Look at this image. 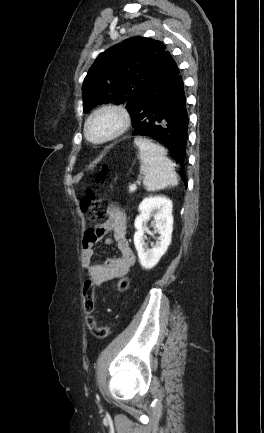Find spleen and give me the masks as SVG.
I'll list each match as a JSON object with an SVG mask.
<instances>
[{
    "instance_id": "3e777b00",
    "label": "spleen",
    "mask_w": 264,
    "mask_h": 433,
    "mask_svg": "<svg viewBox=\"0 0 264 433\" xmlns=\"http://www.w3.org/2000/svg\"><path fill=\"white\" fill-rule=\"evenodd\" d=\"M134 143L140 150L141 171L145 175L143 184L147 191L178 185L174 164L166 157L162 146L142 137H136Z\"/></svg>"
}]
</instances>
